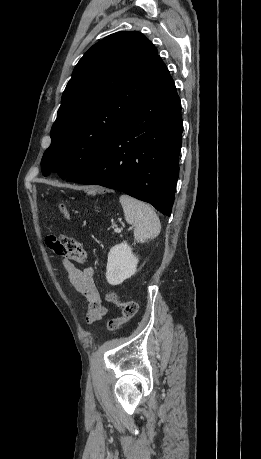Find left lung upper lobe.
<instances>
[{
	"label": "left lung upper lobe",
	"instance_id": "5c2ea615",
	"mask_svg": "<svg viewBox=\"0 0 261 459\" xmlns=\"http://www.w3.org/2000/svg\"><path fill=\"white\" fill-rule=\"evenodd\" d=\"M169 71L142 33L111 34L74 68L41 168L67 179L93 164Z\"/></svg>",
	"mask_w": 261,
	"mask_h": 459
}]
</instances>
